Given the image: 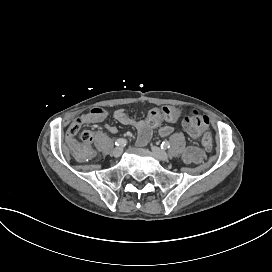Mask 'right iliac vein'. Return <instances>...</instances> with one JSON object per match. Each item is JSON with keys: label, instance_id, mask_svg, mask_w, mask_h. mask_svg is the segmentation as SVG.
Listing matches in <instances>:
<instances>
[{"label": "right iliac vein", "instance_id": "obj_1", "mask_svg": "<svg viewBox=\"0 0 272 272\" xmlns=\"http://www.w3.org/2000/svg\"><path fill=\"white\" fill-rule=\"evenodd\" d=\"M122 152H123V148H122V147H116V148L113 149L112 155H113L115 158H118V157L121 156Z\"/></svg>", "mask_w": 272, "mask_h": 272}]
</instances>
